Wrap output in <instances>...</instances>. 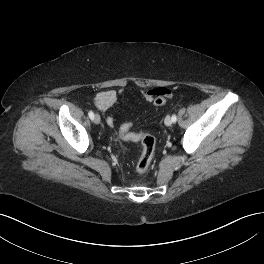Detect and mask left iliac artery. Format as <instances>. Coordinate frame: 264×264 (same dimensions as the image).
Returning a JSON list of instances; mask_svg holds the SVG:
<instances>
[{
    "label": "left iliac artery",
    "instance_id": "1",
    "mask_svg": "<svg viewBox=\"0 0 264 264\" xmlns=\"http://www.w3.org/2000/svg\"><path fill=\"white\" fill-rule=\"evenodd\" d=\"M172 122H176L177 121V117H176V115L174 114V115H172Z\"/></svg>",
    "mask_w": 264,
    "mask_h": 264
}]
</instances>
